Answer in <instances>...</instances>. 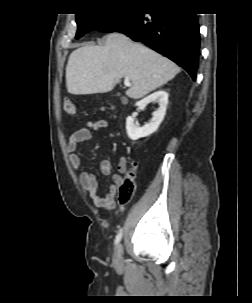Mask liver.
I'll return each mask as SVG.
<instances>
[{
    "label": "liver",
    "instance_id": "obj_1",
    "mask_svg": "<svg viewBox=\"0 0 252 303\" xmlns=\"http://www.w3.org/2000/svg\"><path fill=\"white\" fill-rule=\"evenodd\" d=\"M179 72L180 68L166 57L121 33H112L103 45H85L70 54L66 86L74 95L106 93L127 77L132 86L126 95L140 99Z\"/></svg>",
    "mask_w": 252,
    "mask_h": 303
}]
</instances>
